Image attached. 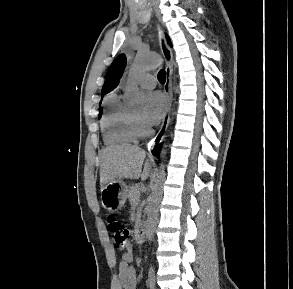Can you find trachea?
<instances>
[{"label":"trachea","mask_w":293,"mask_h":289,"mask_svg":"<svg viewBox=\"0 0 293 289\" xmlns=\"http://www.w3.org/2000/svg\"><path fill=\"white\" fill-rule=\"evenodd\" d=\"M158 80L161 84H164L166 81V73L165 70H160L158 73Z\"/></svg>","instance_id":"1"}]
</instances>
